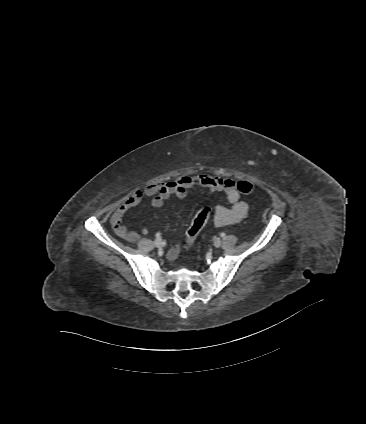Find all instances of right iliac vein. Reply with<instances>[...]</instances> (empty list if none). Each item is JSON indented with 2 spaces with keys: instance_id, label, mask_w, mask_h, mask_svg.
<instances>
[{
  "instance_id": "1",
  "label": "right iliac vein",
  "mask_w": 366,
  "mask_h": 424,
  "mask_svg": "<svg viewBox=\"0 0 366 424\" xmlns=\"http://www.w3.org/2000/svg\"><path fill=\"white\" fill-rule=\"evenodd\" d=\"M154 244H155V246H156V247H161V246H163V241H162V239L157 238V239L154 241Z\"/></svg>"
}]
</instances>
